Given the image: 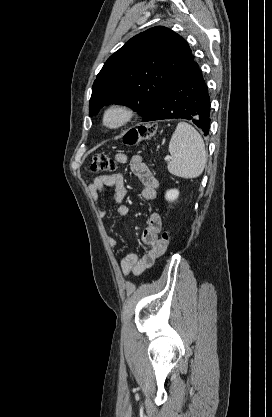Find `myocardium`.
Instances as JSON below:
<instances>
[{"mask_svg":"<svg viewBox=\"0 0 272 417\" xmlns=\"http://www.w3.org/2000/svg\"><path fill=\"white\" fill-rule=\"evenodd\" d=\"M135 117L134 108L125 102L109 105L103 112L102 124L109 130H118L129 124Z\"/></svg>","mask_w":272,"mask_h":417,"instance_id":"1","label":"myocardium"}]
</instances>
